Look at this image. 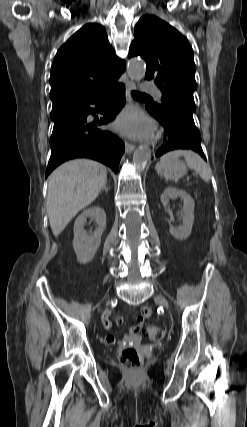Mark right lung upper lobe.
<instances>
[{"label":"right lung upper lobe","instance_id":"obj_1","mask_svg":"<svg viewBox=\"0 0 247 427\" xmlns=\"http://www.w3.org/2000/svg\"><path fill=\"white\" fill-rule=\"evenodd\" d=\"M124 69L125 63L114 54L105 28L86 24L54 58L50 76L52 108L104 94L118 83Z\"/></svg>","mask_w":247,"mask_h":427}]
</instances>
